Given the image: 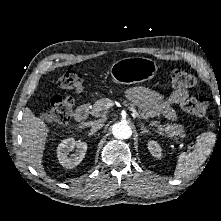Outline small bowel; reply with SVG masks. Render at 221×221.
Here are the masks:
<instances>
[{
    "label": "small bowel",
    "mask_w": 221,
    "mask_h": 221,
    "mask_svg": "<svg viewBox=\"0 0 221 221\" xmlns=\"http://www.w3.org/2000/svg\"><path fill=\"white\" fill-rule=\"evenodd\" d=\"M126 94L128 99L146 115L151 117L162 115L169 120L177 117L172 106L182 105L189 97L186 89H176L168 98L162 99L157 92L142 86L132 87L127 90Z\"/></svg>",
    "instance_id": "small-bowel-1"
}]
</instances>
